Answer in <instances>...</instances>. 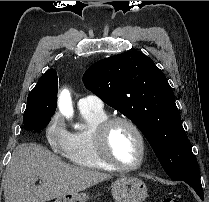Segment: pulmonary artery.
Instances as JSON below:
<instances>
[{
	"instance_id": "1",
	"label": "pulmonary artery",
	"mask_w": 209,
	"mask_h": 202,
	"mask_svg": "<svg viewBox=\"0 0 209 202\" xmlns=\"http://www.w3.org/2000/svg\"><path fill=\"white\" fill-rule=\"evenodd\" d=\"M78 108L80 110H102L103 109V102L102 100L96 95H86L81 97L78 100Z\"/></svg>"
}]
</instances>
